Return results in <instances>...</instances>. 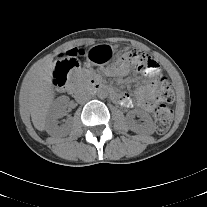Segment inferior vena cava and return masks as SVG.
Masks as SVG:
<instances>
[{
	"label": "inferior vena cava",
	"instance_id": "inferior-vena-cava-1",
	"mask_svg": "<svg viewBox=\"0 0 207 207\" xmlns=\"http://www.w3.org/2000/svg\"><path fill=\"white\" fill-rule=\"evenodd\" d=\"M90 99H91V95L86 94V93H80L77 97V101L80 102V103H85Z\"/></svg>",
	"mask_w": 207,
	"mask_h": 207
}]
</instances>
